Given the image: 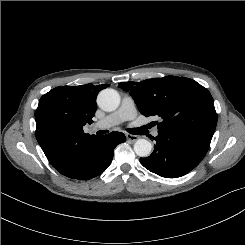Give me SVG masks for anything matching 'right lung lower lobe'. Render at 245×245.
I'll return each mask as SVG.
<instances>
[{
  "label": "right lung lower lobe",
  "instance_id": "obj_1",
  "mask_svg": "<svg viewBox=\"0 0 245 245\" xmlns=\"http://www.w3.org/2000/svg\"><path fill=\"white\" fill-rule=\"evenodd\" d=\"M125 140L126 137L121 132L98 136L83 147L69 165L56 170L71 179L94 178L109 167L114 148Z\"/></svg>",
  "mask_w": 245,
  "mask_h": 245
}]
</instances>
